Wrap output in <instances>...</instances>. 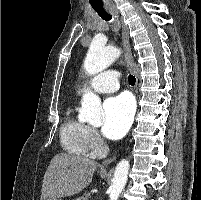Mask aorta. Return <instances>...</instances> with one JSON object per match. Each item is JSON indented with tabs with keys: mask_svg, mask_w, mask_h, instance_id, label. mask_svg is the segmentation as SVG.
<instances>
[{
	"mask_svg": "<svg viewBox=\"0 0 201 200\" xmlns=\"http://www.w3.org/2000/svg\"><path fill=\"white\" fill-rule=\"evenodd\" d=\"M119 55L120 50L118 48L106 47L99 42L93 41L84 60L85 71L90 75L97 74L109 67ZM80 117L92 125L101 123V100L97 95L92 92H86L83 95ZM129 167V161L126 159L117 164L112 185L109 189L110 200H118L127 182Z\"/></svg>",
	"mask_w": 201,
	"mask_h": 200,
	"instance_id": "1",
	"label": "aorta"
}]
</instances>
